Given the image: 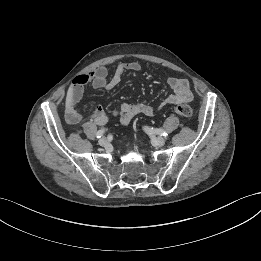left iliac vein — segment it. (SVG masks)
<instances>
[{
	"mask_svg": "<svg viewBox=\"0 0 261 261\" xmlns=\"http://www.w3.org/2000/svg\"><path fill=\"white\" fill-rule=\"evenodd\" d=\"M155 142H156V145L161 147L165 144V139L163 137H157Z\"/></svg>",
	"mask_w": 261,
	"mask_h": 261,
	"instance_id": "1",
	"label": "left iliac vein"
}]
</instances>
